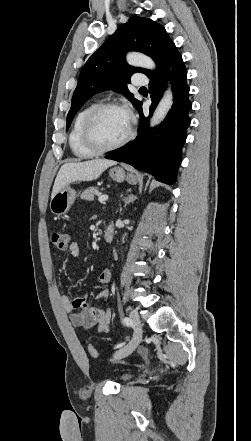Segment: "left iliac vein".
Wrapping results in <instances>:
<instances>
[{"mask_svg": "<svg viewBox=\"0 0 251 441\" xmlns=\"http://www.w3.org/2000/svg\"><path fill=\"white\" fill-rule=\"evenodd\" d=\"M129 316H130V320L132 321V324L135 328V335H134L133 339L126 346L117 350L114 353V359H121V358L128 356L130 353H132L135 350V348L138 346V344L142 340L143 329H142V324H141V320H140L138 313L133 310L130 312Z\"/></svg>", "mask_w": 251, "mask_h": 441, "instance_id": "left-iliac-vein-1", "label": "left iliac vein"}]
</instances>
